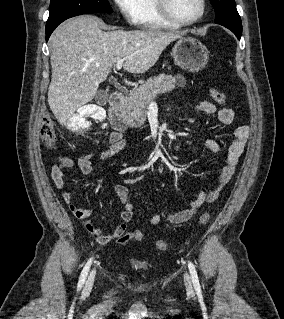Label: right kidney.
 Instances as JSON below:
<instances>
[{"mask_svg":"<svg viewBox=\"0 0 284 319\" xmlns=\"http://www.w3.org/2000/svg\"><path fill=\"white\" fill-rule=\"evenodd\" d=\"M88 116H94L99 120H103L106 117V112L96 106H83L77 110V114L72 116L69 128L74 131H78L81 128L87 127L89 123L86 121V117Z\"/></svg>","mask_w":284,"mask_h":319,"instance_id":"ca27d5eb","label":"right kidney"}]
</instances>
